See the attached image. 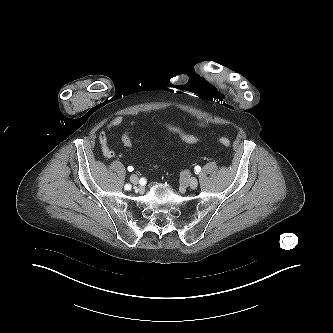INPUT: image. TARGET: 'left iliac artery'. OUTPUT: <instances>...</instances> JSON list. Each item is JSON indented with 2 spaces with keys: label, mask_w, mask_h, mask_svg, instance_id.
<instances>
[{
  "label": "left iliac artery",
  "mask_w": 333,
  "mask_h": 333,
  "mask_svg": "<svg viewBox=\"0 0 333 333\" xmlns=\"http://www.w3.org/2000/svg\"><path fill=\"white\" fill-rule=\"evenodd\" d=\"M200 171H201V167L197 165V166L195 167V172H196V174H199Z\"/></svg>",
  "instance_id": "44dca946"
}]
</instances>
